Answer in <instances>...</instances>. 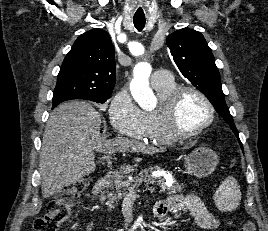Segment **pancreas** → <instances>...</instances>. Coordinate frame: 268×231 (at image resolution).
Masks as SVG:
<instances>
[{
    "label": "pancreas",
    "instance_id": "pancreas-1",
    "mask_svg": "<svg viewBox=\"0 0 268 231\" xmlns=\"http://www.w3.org/2000/svg\"><path fill=\"white\" fill-rule=\"evenodd\" d=\"M153 170H160L159 167H150L148 169L142 170L137 176L132 178L131 180L119 181L115 184V190L108 193L106 205L109 210L115 208L118 200L124 198L130 190H134L137 185L141 183L152 184L157 183L162 191L167 190L169 194H175L176 192H181L182 184H179L174 177L167 176L165 178H159L158 180H154L150 178V173ZM171 182V186H168L166 183Z\"/></svg>",
    "mask_w": 268,
    "mask_h": 231
}]
</instances>
